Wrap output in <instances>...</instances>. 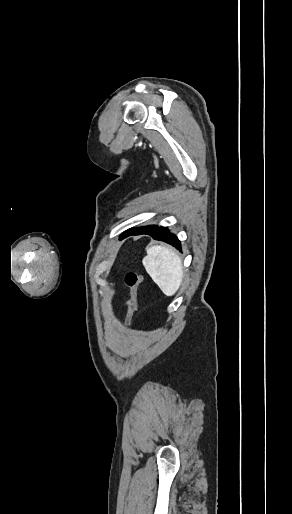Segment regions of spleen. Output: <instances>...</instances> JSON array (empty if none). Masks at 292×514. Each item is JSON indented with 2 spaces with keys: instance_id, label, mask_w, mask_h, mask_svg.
Here are the masks:
<instances>
[{
  "instance_id": "spleen-1",
  "label": "spleen",
  "mask_w": 292,
  "mask_h": 514,
  "mask_svg": "<svg viewBox=\"0 0 292 514\" xmlns=\"http://www.w3.org/2000/svg\"><path fill=\"white\" fill-rule=\"evenodd\" d=\"M148 256L143 260V266L159 286L165 296H174L183 280L182 260L178 254L166 246H151Z\"/></svg>"
}]
</instances>
